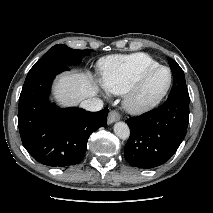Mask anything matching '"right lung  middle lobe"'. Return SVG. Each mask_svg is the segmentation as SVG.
I'll return each mask as SVG.
<instances>
[{"mask_svg":"<svg viewBox=\"0 0 213 213\" xmlns=\"http://www.w3.org/2000/svg\"><path fill=\"white\" fill-rule=\"evenodd\" d=\"M92 51L93 50H76L63 44H57L50 48L33 67L50 62H61L67 65H77L81 62L84 56L88 55Z\"/></svg>","mask_w":213,"mask_h":213,"instance_id":"1","label":"right lung middle lobe"}]
</instances>
